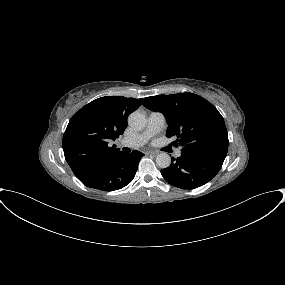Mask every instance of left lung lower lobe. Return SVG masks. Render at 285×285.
Here are the masks:
<instances>
[{"label": "left lung lower lobe", "instance_id": "1", "mask_svg": "<svg viewBox=\"0 0 285 285\" xmlns=\"http://www.w3.org/2000/svg\"><path fill=\"white\" fill-rule=\"evenodd\" d=\"M225 158L209 154L182 153L171 165L161 170L164 179L181 189H194L213 179Z\"/></svg>", "mask_w": 285, "mask_h": 285}]
</instances>
